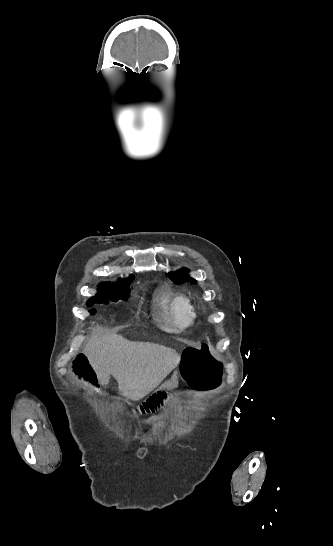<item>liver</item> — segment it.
I'll return each mask as SVG.
<instances>
[{
    "mask_svg": "<svg viewBox=\"0 0 333 546\" xmlns=\"http://www.w3.org/2000/svg\"><path fill=\"white\" fill-rule=\"evenodd\" d=\"M84 355L100 385L112 375L127 399L138 401L154 390L178 365L181 356L162 345L132 342L98 327L84 347Z\"/></svg>",
    "mask_w": 333,
    "mask_h": 546,
    "instance_id": "liver-1",
    "label": "liver"
}]
</instances>
